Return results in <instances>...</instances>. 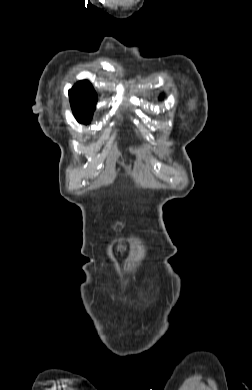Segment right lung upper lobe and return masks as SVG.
<instances>
[{
  "mask_svg": "<svg viewBox=\"0 0 252 390\" xmlns=\"http://www.w3.org/2000/svg\"><path fill=\"white\" fill-rule=\"evenodd\" d=\"M69 99L73 113H80L94 111L98 97L91 83L82 80L69 90Z\"/></svg>",
  "mask_w": 252,
  "mask_h": 390,
  "instance_id": "right-lung-upper-lobe-1",
  "label": "right lung upper lobe"
}]
</instances>
